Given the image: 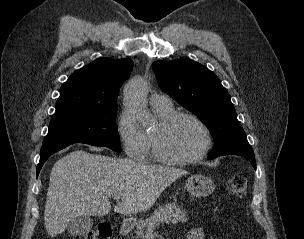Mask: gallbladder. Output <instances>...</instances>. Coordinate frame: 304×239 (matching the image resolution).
<instances>
[{"label":"gallbladder","mask_w":304,"mask_h":239,"mask_svg":"<svg viewBox=\"0 0 304 239\" xmlns=\"http://www.w3.org/2000/svg\"><path fill=\"white\" fill-rule=\"evenodd\" d=\"M92 226L93 220L89 216H78L69 222L67 230L73 236H81L87 233Z\"/></svg>","instance_id":"gallbladder-1"}]
</instances>
